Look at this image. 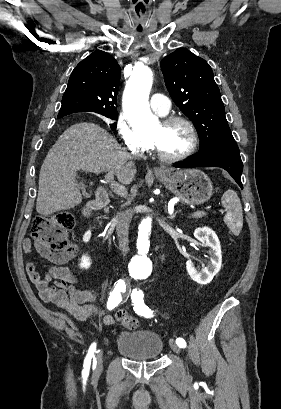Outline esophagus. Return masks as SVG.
Here are the masks:
<instances>
[{"label":"esophagus","mask_w":281,"mask_h":409,"mask_svg":"<svg viewBox=\"0 0 281 409\" xmlns=\"http://www.w3.org/2000/svg\"><path fill=\"white\" fill-rule=\"evenodd\" d=\"M161 171H162L161 167H155L154 168V172H161Z\"/></svg>","instance_id":"esophagus-1"}]
</instances>
